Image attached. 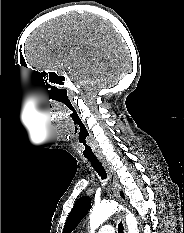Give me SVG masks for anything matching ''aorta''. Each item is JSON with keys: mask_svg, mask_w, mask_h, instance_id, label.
Wrapping results in <instances>:
<instances>
[{"mask_svg": "<svg viewBox=\"0 0 184 233\" xmlns=\"http://www.w3.org/2000/svg\"><path fill=\"white\" fill-rule=\"evenodd\" d=\"M118 208L124 210L121 205H118V203L114 201H105L94 206L89 216L90 232L94 233V231L114 214ZM126 223L128 226V233H139L138 222L129 211H127Z\"/></svg>", "mask_w": 184, "mask_h": 233, "instance_id": "1", "label": "aorta"}]
</instances>
